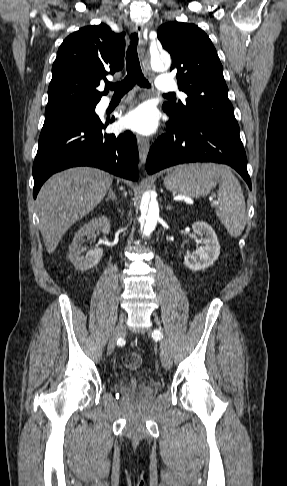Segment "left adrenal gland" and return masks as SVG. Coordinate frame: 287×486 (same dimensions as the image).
Instances as JSON below:
<instances>
[{"label": "left adrenal gland", "mask_w": 287, "mask_h": 486, "mask_svg": "<svg viewBox=\"0 0 287 486\" xmlns=\"http://www.w3.org/2000/svg\"><path fill=\"white\" fill-rule=\"evenodd\" d=\"M166 209H167V210H172V209H173V207H172L171 205H167V206H166Z\"/></svg>", "instance_id": "1"}]
</instances>
